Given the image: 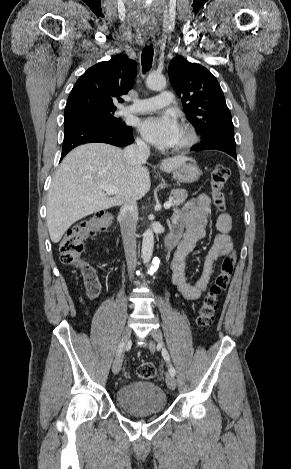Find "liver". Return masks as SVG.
I'll use <instances>...</instances> for the list:
<instances>
[{
	"label": "liver",
	"instance_id": "liver-1",
	"mask_svg": "<svg viewBox=\"0 0 291 469\" xmlns=\"http://www.w3.org/2000/svg\"><path fill=\"white\" fill-rule=\"evenodd\" d=\"M188 157L162 161L160 169L172 172ZM109 185L118 193L109 197L100 188ZM151 187L149 170L142 164L127 163L124 152L102 143L81 145L62 161L48 193L47 227L53 243H58L72 224L93 213L141 199Z\"/></svg>",
	"mask_w": 291,
	"mask_h": 469
}]
</instances>
